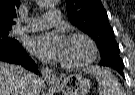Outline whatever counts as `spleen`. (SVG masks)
Returning <instances> with one entry per match:
<instances>
[{"label":"spleen","mask_w":135,"mask_h":95,"mask_svg":"<svg viewBox=\"0 0 135 95\" xmlns=\"http://www.w3.org/2000/svg\"><path fill=\"white\" fill-rule=\"evenodd\" d=\"M84 72L92 74L99 86L100 95H125V91L111 71L99 66L84 68Z\"/></svg>","instance_id":"3e777b00"}]
</instances>
